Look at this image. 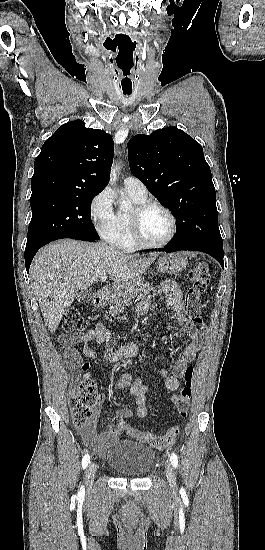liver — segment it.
Returning <instances> with one entry per match:
<instances>
[{"label": "liver", "instance_id": "liver-1", "mask_svg": "<svg viewBox=\"0 0 265 550\" xmlns=\"http://www.w3.org/2000/svg\"><path fill=\"white\" fill-rule=\"evenodd\" d=\"M152 261V257L125 255L102 242L63 239L42 248L32 262L30 276L50 332L56 331L79 290H86L108 273L115 291L121 294Z\"/></svg>", "mask_w": 265, "mask_h": 550}]
</instances>
